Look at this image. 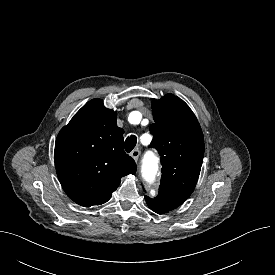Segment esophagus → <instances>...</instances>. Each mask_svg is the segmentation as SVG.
I'll list each match as a JSON object with an SVG mask.
<instances>
[{
	"label": "esophagus",
	"instance_id": "esophagus-1",
	"mask_svg": "<svg viewBox=\"0 0 275 275\" xmlns=\"http://www.w3.org/2000/svg\"><path fill=\"white\" fill-rule=\"evenodd\" d=\"M130 155L137 162L140 156V151L138 149H134Z\"/></svg>",
	"mask_w": 275,
	"mask_h": 275
}]
</instances>
